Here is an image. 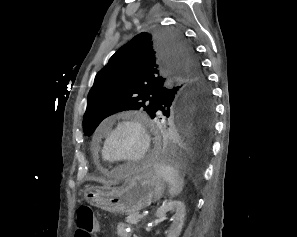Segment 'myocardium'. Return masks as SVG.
I'll return each mask as SVG.
<instances>
[{
    "label": "myocardium",
    "instance_id": "myocardium-1",
    "mask_svg": "<svg viewBox=\"0 0 297 237\" xmlns=\"http://www.w3.org/2000/svg\"><path fill=\"white\" fill-rule=\"evenodd\" d=\"M124 126L134 127L142 138V148L140 153L137 156L128 158V159H121V158L115 157L108 151V145L111 138L118 130H120ZM151 147H152V138L148 128L147 120L141 116H133L117 122L115 126L107 133L104 141V145H103V151L106 154L107 158L113 163L131 164V163H136V162L145 160L147 156L150 154Z\"/></svg>",
    "mask_w": 297,
    "mask_h": 237
}]
</instances>
